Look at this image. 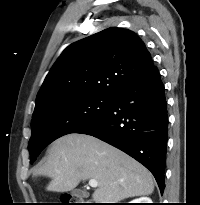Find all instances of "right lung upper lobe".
Returning a JSON list of instances; mask_svg holds the SVG:
<instances>
[{"label":"right lung upper lobe","instance_id":"1","mask_svg":"<svg viewBox=\"0 0 200 205\" xmlns=\"http://www.w3.org/2000/svg\"><path fill=\"white\" fill-rule=\"evenodd\" d=\"M152 67L150 53L134 32L105 29L62 52L37 94L33 116L73 97H113Z\"/></svg>","mask_w":200,"mask_h":205}]
</instances>
